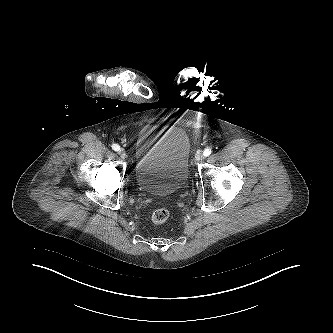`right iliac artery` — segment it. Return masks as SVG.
<instances>
[{
  "label": "right iliac artery",
  "instance_id": "right-iliac-artery-1",
  "mask_svg": "<svg viewBox=\"0 0 333 333\" xmlns=\"http://www.w3.org/2000/svg\"><path fill=\"white\" fill-rule=\"evenodd\" d=\"M112 149L115 151H119L120 146L118 144H112Z\"/></svg>",
  "mask_w": 333,
  "mask_h": 333
}]
</instances>
